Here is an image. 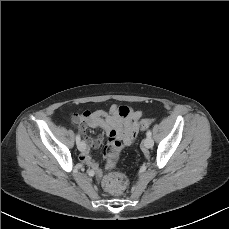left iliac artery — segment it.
Wrapping results in <instances>:
<instances>
[{"label": "left iliac artery", "instance_id": "1", "mask_svg": "<svg viewBox=\"0 0 229 229\" xmlns=\"http://www.w3.org/2000/svg\"><path fill=\"white\" fill-rule=\"evenodd\" d=\"M146 135H147V137H151V135H152L151 131L148 130L147 133H146Z\"/></svg>", "mask_w": 229, "mask_h": 229}]
</instances>
